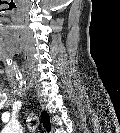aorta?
I'll list each match as a JSON object with an SVG mask.
<instances>
[{
    "label": "aorta",
    "mask_w": 120,
    "mask_h": 133,
    "mask_svg": "<svg viewBox=\"0 0 120 133\" xmlns=\"http://www.w3.org/2000/svg\"><path fill=\"white\" fill-rule=\"evenodd\" d=\"M13 128H14V125H9V126L7 127V129H8L9 131H13Z\"/></svg>",
    "instance_id": "aorta-1"
}]
</instances>
